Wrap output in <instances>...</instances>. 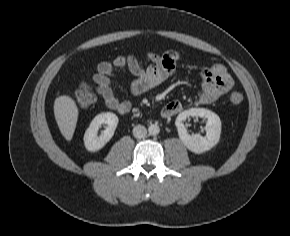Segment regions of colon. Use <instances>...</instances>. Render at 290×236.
<instances>
[{
  "instance_id": "obj_1",
  "label": "colon",
  "mask_w": 290,
  "mask_h": 236,
  "mask_svg": "<svg viewBox=\"0 0 290 236\" xmlns=\"http://www.w3.org/2000/svg\"><path fill=\"white\" fill-rule=\"evenodd\" d=\"M243 99L244 96L239 91L232 92L230 95V101L235 105L240 104ZM75 100L81 108H87L94 103L95 96L87 83H80L75 92Z\"/></svg>"
}]
</instances>
